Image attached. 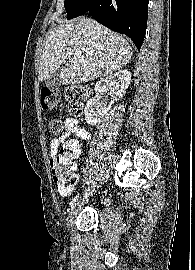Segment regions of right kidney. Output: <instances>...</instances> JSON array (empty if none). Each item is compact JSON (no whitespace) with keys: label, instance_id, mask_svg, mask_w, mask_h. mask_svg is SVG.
<instances>
[{"label":"right kidney","instance_id":"obj_1","mask_svg":"<svg viewBox=\"0 0 195 270\" xmlns=\"http://www.w3.org/2000/svg\"><path fill=\"white\" fill-rule=\"evenodd\" d=\"M130 80L131 73L124 69L119 70L113 75L102 78L100 81H98L94 88L96 95H101L109 89L111 101L108 107H102L98 98L89 99L84 110L86 122L90 125L97 124L100 119L109 111L112 104L123 97L124 93L129 87Z\"/></svg>","mask_w":195,"mask_h":270}]
</instances>
